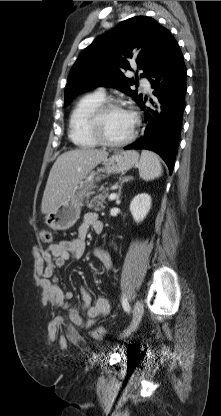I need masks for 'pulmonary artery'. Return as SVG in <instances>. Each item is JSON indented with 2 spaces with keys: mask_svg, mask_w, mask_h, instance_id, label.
<instances>
[{
  "mask_svg": "<svg viewBox=\"0 0 221 416\" xmlns=\"http://www.w3.org/2000/svg\"><path fill=\"white\" fill-rule=\"evenodd\" d=\"M141 84L145 90L150 91V83L147 80H142ZM98 92L104 95V90L102 88H99Z\"/></svg>",
  "mask_w": 221,
  "mask_h": 416,
  "instance_id": "e3ab8cb5",
  "label": "pulmonary artery"
}]
</instances>
